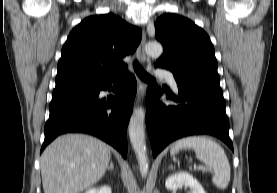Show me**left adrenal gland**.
Wrapping results in <instances>:
<instances>
[{"label": "left adrenal gland", "mask_w": 277, "mask_h": 193, "mask_svg": "<svg viewBox=\"0 0 277 193\" xmlns=\"http://www.w3.org/2000/svg\"><path fill=\"white\" fill-rule=\"evenodd\" d=\"M169 168H170V169H173V165H170Z\"/></svg>", "instance_id": "left-adrenal-gland-1"}]
</instances>
